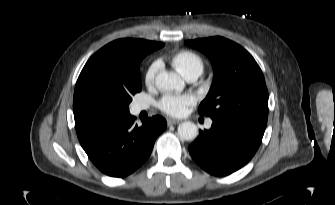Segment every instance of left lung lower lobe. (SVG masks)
I'll use <instances>...</instances> for the list:
<instances>
[{
    "label": "left lung lower lobe",
    "mask_w": 335,
    "mask_h": 205,
    "mask_svg": "<svg viewBox=\"0 0 335 205\" xmlns=\"http://www.w3.org/2000/svg\"><path fill=\"white\" fill-rule=\"evenodd\" d=\"M210 130L188 147L194 161L215 176H226L247 164L258 150L265 128L244 120L212 117Z\"/></svg>",
    "instance_id": "obj_1"
}]
</instances>
